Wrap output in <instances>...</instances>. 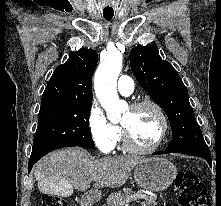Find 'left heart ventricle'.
Returning <instances> with one entry per match:
<instances>
[{
	"instance_id": "obj_1",
	"label": "left heart ventricle",
	"mask_w": 221,
	"mask_h": 206,
	"mask_svg": "<svg viewBox=\"0 0 221 206\" xmlns=\"http://www.w3.org/2000/svg\"><path fill=\"white\" fill-rule=\"evenodd\" d=\"M121 124L128 130L138 147H149L155 143L161 130V121L150 106L135 110L130 108L124 113Z\"/></svg>"
}]
</instances>
